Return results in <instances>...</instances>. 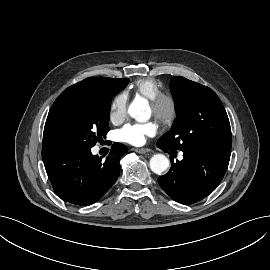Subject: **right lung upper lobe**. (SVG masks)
<instances>
[{
    "label": "right lung upper lobe",
    "mask_w": 270,
    "mask_h": 270,
    "mask_svg": "<svg viewBox=\"0 0 270 270\" xmlns=\"http://www.w3.org/2000/svg\"><path fill=\"white\" fill-rule=\"evenodd\" d=\"M120 80L121 79L107 77H90L68 87L60 94V96L73 95L83 92H107L114 88L120 82Z\"/></svg>",
    "instance_id": "obj_1"
}]
</instances>
